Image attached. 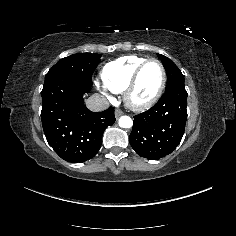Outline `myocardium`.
<instances>
[{
  "label": "myocardium",
  "mask_w": 236,
  "mask_h": 236,
  "mask_svg": "<svg viewBox=\"0 0 236 236\" xmlns=\"http://www.w3.org/2000/svg\"><path fill=\"white\" fill-rule=\"evenodd\" d=\"M152 62L157 63L161 67L162 79H161L160 85H159L156 93L153 95L152 98H150L149 100H147L145 102H136L132 98L134 88L137 84L138 78H139L142 70L149 63H152ZM166 82H167V71H166V68H165L164 64L159 59H156V58L146 59L141 64H139L138 67L135 69L130 81L128 82L125 90L123 91V97H124V101H125L126 105L128 107H130L131 109H134V110H137V111H142V110H146V109L151 108L161 98L162 93H163V91L165 89V86H166Z\"/></svg>",
  "instance_id": "myocardium-1"
}]
</instances>
